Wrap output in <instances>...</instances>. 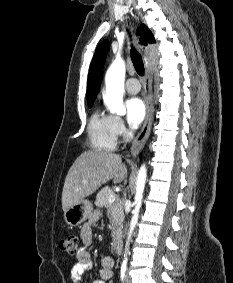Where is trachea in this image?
I'll list each match as a JSON object with an SVG mask.
<instances>
[{
  "mask_svg": "<svg viewBox=\"0 0 233 283\" xmlns=\"http://www.w3.org/2000/svg\"><path fill=\"white\" fill-rule=\"evenodd\" d=\"M131 59L136 72L140 75H144V64L139 52L134 47L131 48Z\"/></svg>",
  "mask_w": 233,
  "mask_h": 283,
  "instance_id": "trachea-1",
  "label": "trachea"
}]
</instances>
